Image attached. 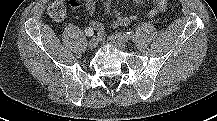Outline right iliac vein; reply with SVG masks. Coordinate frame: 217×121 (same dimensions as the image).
Segmentation results:
<instances>
[{"mask_svg":"<svg viewBox=\"0 0 217 121\" xmlns=\"http://www.w3.org/2000/svg\"><path fill=\"white\" fill-rule=\"evenodd\" d=\"M97 45H98V40L95 38L91 39L88 43V47L91 50L95 49L97 47Z\"/></svg>","mask_w":217,"mask_h":121,"instance_id":"obj_1","label":"right iliac vein"}]
</instances>
